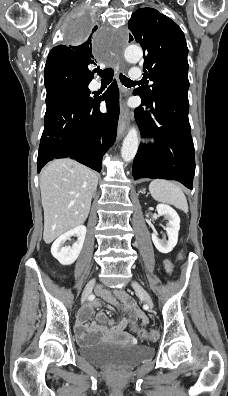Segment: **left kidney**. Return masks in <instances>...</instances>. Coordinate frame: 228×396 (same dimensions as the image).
Masks as SVG:
<instances>
[{
  "mask_svg": "<svg viewBox=\"0 0 228 396\" xmlns=\"http://www.w3.org/2000/svg\"><path fill=\"white\" fill-rule=\"evenodd\" d=\"M157 212L159 216H164L168 222L166 224V233L168 240L159 239L157 232L152 233V241L156 249L164 254H167L173 250L178 241V232L180 229V218L177 212L169 205L158 204Z\"/></svg>",
  "mask_w": 228,
  "mask_h": 396,
  "instance_id": "left-kidney-1",
  "label": "left kidney"
}]
</instances>
